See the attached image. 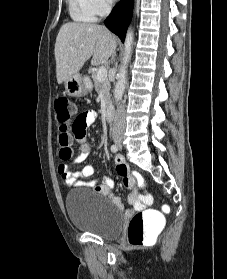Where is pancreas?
<instances>
[{"label": "pancreas", "mask_w": 227, "mask_h": 279, "mask_svg": "<svg viewBox=\"0 0 227 279\" xmlns=\"http://www.w3.org/2000/svg\"><path fill=\"white\" fill-rule=\"evenodd\" d=\"M91 77L93 79L96 91L102 94L105 104L110 105L111 104V95H110L111 87H110L109 80L107 78L104 80H98L96 77L95 70L92 71Z\"/></svg>", "instance_id": "pancreas-1"}]
</instances>
